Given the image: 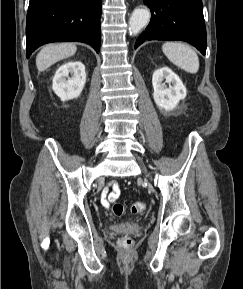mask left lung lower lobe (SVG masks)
<instances>
[{
	"instance_id": "0a47b994",
	"label": "left lung lower lobe",
	"mask_w": 243,
	"mask_h": 289,
	"mask_svg": "<svg viewBox=\"0 0 243 289\" xmlns=\"http://www.w3.org/2000/svg\"><path fill=\"white\" fill-rule=\"evenodd\" d=\"M151 9V21L135 44L146 40H179L206 53V28L202 0H144Z\"/></svg>"
}]
</instances>
